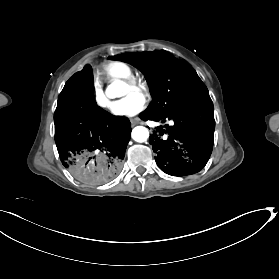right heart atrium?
Segmentation results:
<instances>
[{
  "label": "right heart atrium",
  "instance_id": "right-heart-atrium-1",
  "mask_svg": "<svg viewBox=\"0 0 279 279\" xmlns=\"http://www.w3.org/2000/svg\"><path fill=\"white\" fill-rule=\"evenodd\" d=\"M94 101L98 108L102 110H108L110 108V102L102 89V85L98 80L94 81L93 85Z\"/></svg>",
  "mask_w": 279,
  "mask_h": 279
}]
</instances>
